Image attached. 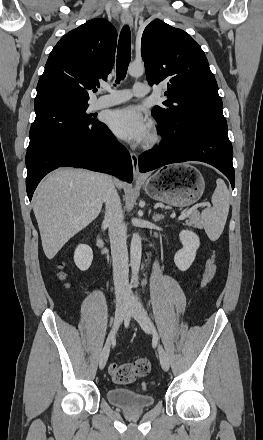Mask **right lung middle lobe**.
I'll return each instance as SVG.
<instances>
[{
    "label": "right lung middle lobe",
    "mask_w": 263,
    "mask_h": 440,
    "mask_svg": "<svg viewBox=\"0 0 263 440\" xmlns=\"http://www.w3.org/2000/svg\"><path fill=\"white\" fill-rule=\"evenodd\" d=\"M88 103L61 102L45 108H35L36 118L30 129L27 151L70 132H85L102 123L87 113Z\"/></svg>",
    "instance_id": "1"
}]
</instances>
